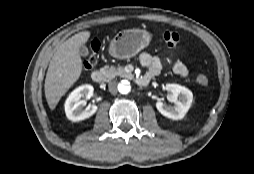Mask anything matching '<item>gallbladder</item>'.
I'll use <instances>...</instances> for the list:
<instances>
[{
	"label": "gallbladder",
	"mask_w": 254,
	"mask_h": 174,
	"mask_svg": "<svg viewBox=\"0 0 254 174\" xmlns=\"http://www.w3.org/2000/svg\"><path fill=\"white\" fill-rule=\"evenodd\" d=\"M79 52H80V55H81V56H87L88 53H89V50H88V48H87L85 45H82V46L79 48Z\"/></svg>",
	"instance_id": "gallbladder-1"
}]
</instances>
